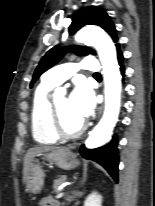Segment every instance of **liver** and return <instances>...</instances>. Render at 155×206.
Listing matches in <instances>:
<instances>
[{"mask_svg": "<svg viewBox=\"0 0 155 206\" xmlns=\"http://www.w3.org/2000/svg\"><path fill=\"white\" fill-rule=\"evenodd\" d=\"M57 149H58L57 147H53V146H37V147L30 148L27 151L24 158V168H23L24 182H26L27 180L28 172L32 166L33 159L43 152L53 151Z\"/></svg>", "mask_w": 155, "mask_h": 206, "instance_id": "1", "label": "liver"}]
</instances>
